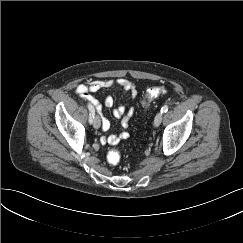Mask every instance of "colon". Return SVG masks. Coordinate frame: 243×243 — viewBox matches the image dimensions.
<instances>
[{
	"instance_id": "5ec220e1",
	"label": "colon",
	"mask_w": 243,
	"mask_h": 243,
	"mask_svg": "<svg viewBox=\"0 0 243 243\" xmlns=\"http://www.w3.org/2000/svg\"><path fill=\"white\" fill-rule=\"evenodd\" d=\"M165 93H166L165 87L153 86L147 89L145 99L148 101ZM107 160L113 166L118 165L121 160L120 151L118 149H111L107 154Z\"/></svg>"
}]
</instances>
